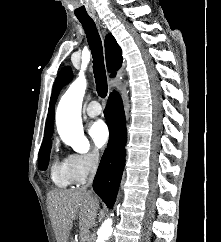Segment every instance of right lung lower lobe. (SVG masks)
<instances>
[{
	"mask_svg": "<svg viewBox=\"0 0 221 242\" xmlns=\"http://www.w3.org/2000/svg\"><path fill=\"white\" fill-rule=\"evenodd\" d=\"M104 115L109 125V142L94 178L93 189L108 207H112L124 169L127 140L125 114L117 92L110 94Z\"/></svg>",
	"mask_w": 221,
	"mask_h": 242,
	"instance_id": "right-lung-lower-lobe-1",
	"label": "right lung lower lobe"
}]
</instances>
